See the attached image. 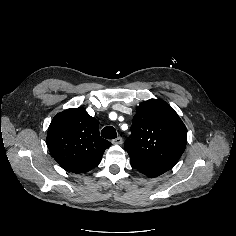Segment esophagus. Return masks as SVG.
Listing matches in <instances>:
<instances>
[{
	"mask_svg": "<svg viewBox=\"0 0 236 236\" xmlns=\"http://www.w3.org/2000/svg\"><path fill=\"white\" fill-rule=\"evenodd\" d=\"M122 138L121 137H117V138H115L114 140H112V144H114V145H120V144H122Z\"/></svg>",
	"mask_w": 236,
	"mask_h": 236,
	"instance_id": "obj_1",
	"label": "esophagus"
}]
</instances>
